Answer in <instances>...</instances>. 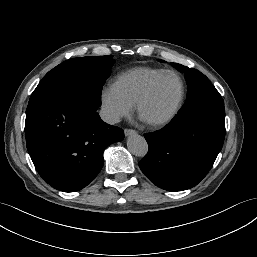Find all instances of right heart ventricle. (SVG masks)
I'll use <instances>...</instances> for the list:
<instances>
[{
  "label": "right heart ventricle",
  "mask_w": 257,
  "mask_h": 257,
  "mask_svg": "<svg viewBox=\"0 0 257 257\" xmlns=\"http://www.w3.org/2000/svg\"><path fill=\"white\" fill-rule=\"evenodd\" d=\"M165 69L135 67L119 74L114 82L115 89L132 105H135L148 83Z\"/></svg>",
  "instance_id": "obj_1"
}]
</instances>
